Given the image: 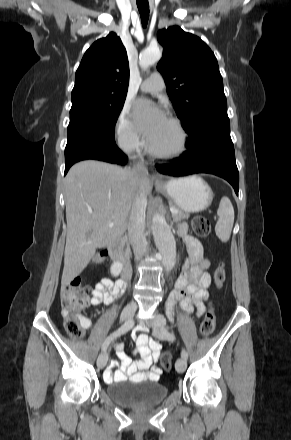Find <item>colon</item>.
Masks as SVG:
<instances>
[{
    "instance_id": "obj_1",
    "label": "colon",
    "mask_w": 291,
    "mask_h": 440,
    "mask_svg": "<svg viewBox=\"0 0 291 440\" xmlns=\"http://www.w3.org/2000/svg\"><path fill=\"white\" fill-rule=\"evenodd\" d=\"M192 228L199 236H206L210 232L209 221L202 215L194 217ZM216 277L219 283L223 281L224 271L222 265L218 267ZM92 293L91 285L83 278H77L61 288V314L64 318V328L73 339H80L83 336V327L79 323V318L90 307ZM214 327V312L209 310L201 323L200 332L203 336H207L214 330ZM161 363L166 370H171V354L165 352L162 355Z\"/></svg>"
}]
</instances>
